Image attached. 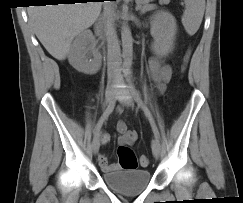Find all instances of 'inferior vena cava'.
<instances>
[{
	"mask_svg": "<svg viewBox=\"0 0 243 203\" xmlns=\"http://www.w3.org/2000/svg\"><path fill=\"white\" fill-rule=\"evenodd\" d=\"M102 21L104 24V32L107 38L108 47V76L117 78L120 66V46L114 27L113 13L110 9L104 10Z\"/></svg>",
	"mask_w": 243,
	"mask_h": 203,
	"instance_id": "1",
	"label": "inferior vena cava"
}]
</instances>
